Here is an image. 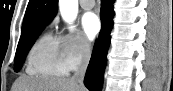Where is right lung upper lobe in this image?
Instances as JSON below:
<instances>
[{
    "label": "right lung upper lobe",
    "instance_id": "cb5924a9",
    "mask_svg": "<svg viewBox=\"0 0 173 91\" xmlns=\"http://www.w3.org/2000/svg\"><path fill=\"white\" fill-rule=\"evenodd\" d=\"M58 0H30L24 16L22 32L48 25L55 17Z\"/></svg>",
    "mask_w": 173,
    "mask_h": 91
}]
</instances>
